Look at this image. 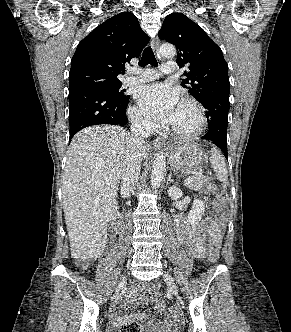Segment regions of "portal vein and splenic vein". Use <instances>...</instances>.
<instances>
[{
    "label": "portal vein and splenic vein",
    "mask_w": 291,
    "mask_h": 332,
    "mask_svg": "<svg viewBox=\"0 0 291 332\" xmlns=\"http://www.w3.org/2000/svg\"><path fill=\"white\" fill-rule=\"evenodd\" d=\"M194 178L195 177L193 176V177H188L187 179H185L184 185L186 186V185L190 184L193 181Z\"/></svg>",
    "instance_id": "obj_1"
}]
</instances>
